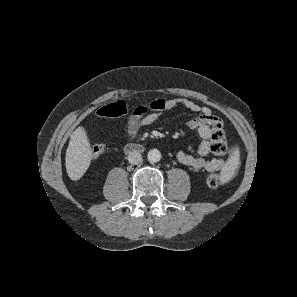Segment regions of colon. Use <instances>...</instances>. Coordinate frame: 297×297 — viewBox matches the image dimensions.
<instances>
[{
    "label": "colon",
    "mask_w": 297,
    "mask_h": 297,
    "mask_svg": "<svg viewBox=\"0 0 297 297\" xmlns=\"http://www.w3.org/2000/svg\"><path fill=\"white\" fill-rule=\"evenodd\" d=\"M146 106L143 104L135 106L129 112L128 105L124 101H117L108 104L98 110V115L102 117H120L125 114H140L145 112ZM227 141L224 135L221 121H217L212 127L211 152L216 156H223L227 152ZM104 152V146L101 144L94 145L92 148V157L98 158ZM207 184L210 188H217L220 185V177L217 174H212L207 178Z\"/></svg>",
    "instance_id": "5ec220e1"
}]
</instances>
